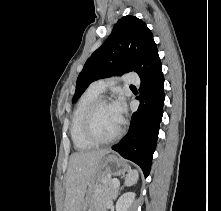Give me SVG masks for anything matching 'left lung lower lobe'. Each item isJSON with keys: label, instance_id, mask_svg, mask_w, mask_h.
<instances>
[{"label": "left lung lower lobe", "instance_id": "left-lung-lower-lobe-1", "mask_svg": "<svg viewBox=\"0 0 221 211\" xmlns=\"http://www.w3.org/2000/svg\"><path fill=\"white\" fill-rule=\"evenodd\" d=\"M139 77V108L132 115L128 134L112 149L138 164L147 177L157 144L164 104V77L158 52L152 56Z\"/></svg>", "mask_w": 221, "mask_h": 211}]
</instances>
